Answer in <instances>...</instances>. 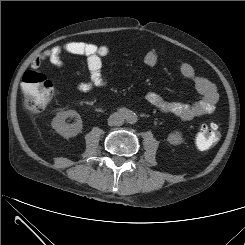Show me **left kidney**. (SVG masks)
<instances>
[{
    "label": "left kidney",
    "mask_w": 245,
    "mask_h": 245,
    "mask_svg": "<svg viewBox=\"0 0 245 245\" xmlns=\"http://www.w3.org/2000/svg\"><path fill=\"white\" fill-rule=\"evenodd\" d=\"M168 141L173 145H178L183 142L182 133L179 131H175L168 136Z\"/></svg>",
    "instance_id": "left-kidney-1"
}]
</instances>
